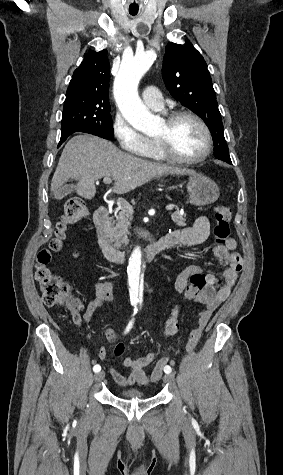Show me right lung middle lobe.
<instances>
[{
  "mask_svg": "<svg viewBox=\"0 0 283 475\" xmlns=\"http://www.w3.org/2000/svg\"><path fill=\"white\" fill-rule=\"evenodd\" d=\"M109 100L66 98L62 116V133L85 132L113 140L114 130Z\"/></svg>",
  "mask_w": 283,
  "mask_h": 475,
  "instance_id": "dd1d6c3e",
  "label": "right lung middle lobe"
}]
</instances>
